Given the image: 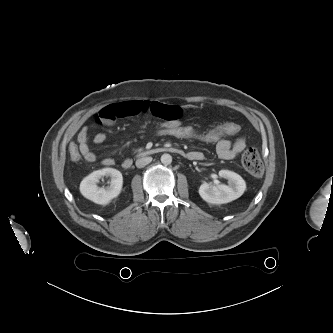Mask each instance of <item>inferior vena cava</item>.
Here are the masks:
<instances>
[{
	"label": "inferior vena cava",
	"mask_w": 333,
	"mask_h": 333,
	"mask_svg": "<svg viewBox=\"0 0 333 333\" xmlns=\"http://www.w3.org/2000/svg\"><path fill=\"white\" fill-rule=\"evenodd\" d=\"M152 161L151 157H144L136 160V167L137 168H143L147 164H149Z\"/></svg>",
	"instance_id": "1"
}]
</instances>
